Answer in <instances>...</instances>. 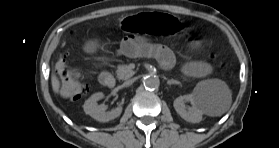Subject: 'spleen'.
<instances>
[{"label": "spleen", "instance_id": "spleen-1", "mask_svg": "<svg viewBox=\"0 0 279 148\" xmlns=\"http://www.w3.org/2000/svg\"><path fill=\"white\" fill-rule=\"evenodd\" d=\"M194 92L204 101L217 107V115L224 113L230 106L232 98L228 87L218 79L200 82ZM225 97L224 101L222 97Z\"/></svg>", "mask_w": 279, "mask_h": 148}]
</instances>
